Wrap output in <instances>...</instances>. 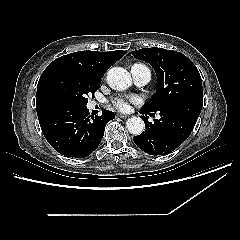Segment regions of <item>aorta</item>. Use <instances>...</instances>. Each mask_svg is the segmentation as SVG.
Wrapping results in <instances>:
<instances>
[{
  "label": "aorta",
  "instance_id": "obj_1",
  "mask_svg": "<svg viewBox=\"0 0 240 240\" xmlns=\"http://www.w3.org/2000/svg\"><path fill=\"white\" fill-rule=\"evenodd\" d=\"M107 83L112 89L122 91L131 85L132 78L126 69L113 67L107 72ZM126 127L131 134L140 135L144 131L145 124L141 118L133 116L127 120Z\"/></svg>",
  "mask_w": 240,
  "mask_h": 240
}]
</instances>
